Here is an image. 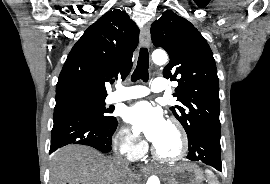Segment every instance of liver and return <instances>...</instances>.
Segmentation results:
<instances>
[{"label": "liver", "mask_w": 270, "mask_h": 184, "mask_svg": "<svg viewBox=\"0 0 270 184\" xmlns=\"http://www.w3.org/2000/svg\"><path fill=\"white\" fill-rule=\"evenodd\" d=\"M135 178L95 149L82 145L57 150L50 168V184H131Z\"/></svg>", "instance_id": "6515ba94"}]
</instances>
